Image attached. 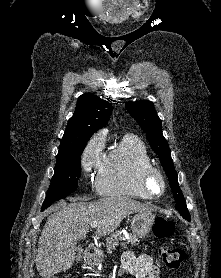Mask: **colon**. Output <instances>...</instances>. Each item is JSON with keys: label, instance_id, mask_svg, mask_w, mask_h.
Listing matches in <instances>:
<instances>
[{"label": "colon", "instance_id": "colon-1", "mask_svg": "<svg viewBox=\"0 0 221 278\" xmlns=\"http://www.w3.org/2000/svg\"><path fill=\"white\" fill-rule=\"evenodd\" d=\"M175 225L172 221L162 217L157 216L155 218V223L153 227V233L155 237L159 239L170 238L174 235ZM160 255L164 260L166 267L169 270L176 271L178 270L185 260V251L180 247H170L162 246L159 249ZM51 278H58L53 276ZM81 278V277H74Z\"/></svg>", "mask_w": 221, "mask_h": 278}]
</instances>
